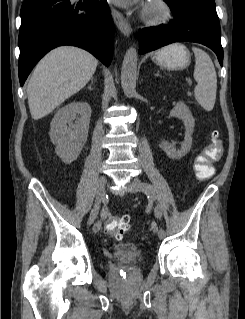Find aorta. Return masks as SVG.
Masks as SVG:
<instances>
[{
  "mask_svg": "<svg viewBox=\"0 0 245 319\" xmlns=\"http://www.w3.org/2000/svg\"><path fill=\"white\" fill-rule=\"evenodd\" d=\"M137 51L130 47L124 56L121 70V85L126 97H133L136 94L137 78Z\"/></svg>",
  "mask_w": 245,
  "mask_h": 319,
  "instance_id": "1",
  "label": "aorta"
}]
</instances>
